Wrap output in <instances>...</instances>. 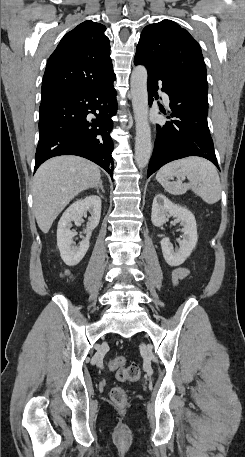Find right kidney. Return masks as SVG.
Here are the masks:
<instances>
[{
  "label": "right kidney",
  "mask_w": 245,
  "mask_h": 457,
  "mask_svg": "<svg viewBox=\"0 0 245 457\" xmlns=\"http://www.w3.org/2000/svg\"><path fill=\"white\" fill-rule=\"evenodd\" d=\"M87 212H90L91 216H88L89 222H87L86 239H83L79 243V247L72 245V237H75L77 233L70 231L72 226V220L76 226H79L83 222L82 216H87ZM101 214V198L96 194H90L86 198H80L75 200L73 204L68 206L67 210L63 212L57 226V245L59 251H64L69 257V267L78 265L85 257L89 249V239L92 235L93 229L99 224Z\"/></svg>",
  "instance_id": "1"
}]
</instances>
